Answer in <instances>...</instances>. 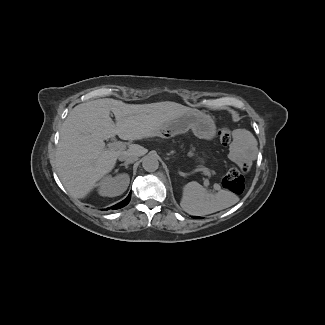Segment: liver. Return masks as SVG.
I'll return each mask as SVG.
<instances>
[{"mask_svg": "<svg viewBox=\"0 0 325 325\" xmlns=\"http://www.w3.org/2000/svg\"><path fill=\"white\" fill-rule=\"evenodd\" d=\"M193 112L199 111L171 101L126 104L104 98L79 104L62 125L53 167L71 196L85 198L125 152L105 148L104 140L115 135L122 140L152 137L165 123ZM128 152L142 155L146 149L132 145Z\"/></svg>", "mask_w": 325, "mask_h": 325, "instance_id": "liver-1", "label": "liver"}]
</instances>
